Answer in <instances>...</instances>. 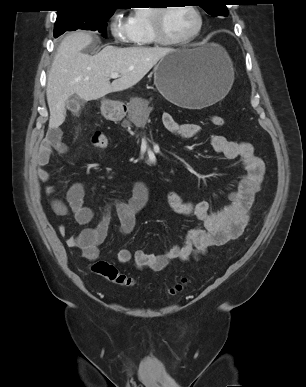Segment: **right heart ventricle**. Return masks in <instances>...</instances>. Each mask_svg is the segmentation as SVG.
I'll return each instance as SVG.
<instances>
[{
  "mask_svg": "<svg viewBox=\"0 0 306 387\" xmlns=\"http://www.w3.org/2000/svg\"><path fill=\"white\" fill-rule=\"evenodd\" d=\"M151 10L137 9L127 20L130 29L129 41L135 46L147 47L155 44L150 29Z\"/></svg>",
  "mask_w": 306,
  "mask_h": 387,
  "instance_id": "1",
  "label": "right heart ventricle"
}]
</instances>
